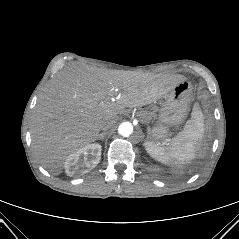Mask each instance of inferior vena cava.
<instances>
[{
	"label": "inferior vena cava",
	"mask_w": 239,
	"mask_h": 239,
	"mask_svg": "<svg viewBox=\"0 0 239 239\" xmlns=\"http://www.w3.org/2000/svg\"><path fill=\"white\" fill-rule=\"evenodd\" d=\"M114 125V122L113 121H106V122H103L101 124V130L103 131H107L109 130L110 128H112V126Z\"/></svg>",
	"instance_id": "inferior-vena-cava-1"
}]
</instances>
